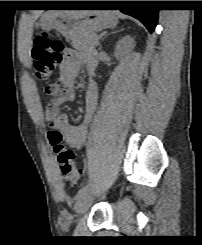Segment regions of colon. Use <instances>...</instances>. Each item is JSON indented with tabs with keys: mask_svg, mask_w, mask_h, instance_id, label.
<instances>
[{
	"mask_svg": "<svg viewBox=\"0 0 202 245\" xmlns=\"http://www.w3.org/2000/svg\"><path fill=\"white\" fill-rule=\"evenodd\" d=\"M35 76L39 81H47L62 61V44L47 34H41L34 39L31 52ZM53 88L46 89L47 95H52ZM49 141L56 154L59 171L63 178L72 184H77L82 176V169L76 165L75 154L62 142V135L50 123Z\"/></svg>",
	"mask_w": 202,
	"mask_h": 245,
	"instance_id": "5ec220e1",
	"label": "colon"
}]
</instances>
